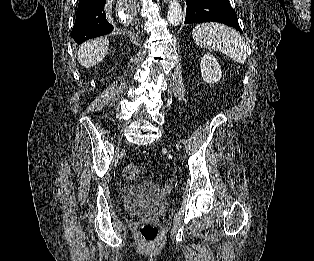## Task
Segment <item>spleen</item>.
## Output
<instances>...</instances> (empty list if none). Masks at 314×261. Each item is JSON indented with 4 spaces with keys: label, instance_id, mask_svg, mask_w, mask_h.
Listing matches in <instances>:
<instances>
[{
    "label": "spleen",
    "instance_id": "obj_1",
    "mask_svg": "<svg viewBox=\"0 0 314 261\" xmlns=\"http://www.w3.org/2000/svg\"><path fill=\"white\" fill-rule=\"evenodd\" d=\"M192 37L202 48L219 51L240 64L246 62V45L240 34L230 27L213 22L197 24Z\"/></svg>",
    "mask_w": 314,
    "mask_h": 261
}]
</instances>
